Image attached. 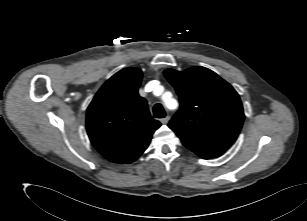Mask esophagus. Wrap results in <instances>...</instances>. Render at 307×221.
Masks as SVG:
<instances>
[{"mask_svg":"<svg viewBox=\"0 0 307 221\" xmlns=\"http://www.w3.org/2000/svg\"><path fill=\"white\" fill-rule=\"evenodd\" d=\"M169 120H170V117L166 116V117L162 118L160 121H161L162 124H167L169 122Z\"/></svg>","mask_w":307,"mask_h":221,"instance_id":"34e87169","label":"esophagus"}]
</instances>
